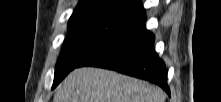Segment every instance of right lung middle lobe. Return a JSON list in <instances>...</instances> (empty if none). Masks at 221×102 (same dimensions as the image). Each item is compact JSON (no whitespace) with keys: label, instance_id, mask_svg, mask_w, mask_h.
Masks as SVG:
<instances>
[{"label":"right lung middle lobe","instance_id":"obj_1","mask_svg":"<svg viewBox=\"0 0 221 102\" xmlns=\"http://www.w3.org/2000/svg\"><path fill=\"white\" fill-rule=\"evenodd\" d=\"M141 16L139 10L110 3H93L75 9L68 23V35L56 65L53 85Z\"/></svg>","mask_w":221,"mask_h":102}]
</instances>
